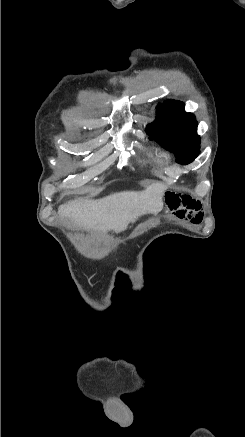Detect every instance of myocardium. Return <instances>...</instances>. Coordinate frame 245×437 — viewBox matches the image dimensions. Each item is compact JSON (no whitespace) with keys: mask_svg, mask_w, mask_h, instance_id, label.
I'll return each mask as SVG.
<instances>
[{"mask_svg":"<svg viewBox=\"0 0 245 437\" xmlns=\"http://www.w3.org/2000/svg\"><path fill=\"white\" fill-rule=\"evenodd\" d=\"M162 155L166 158H170V153L168 151H162Z\"/></svg>","mask_w":245,"mask_h":437,"instance_id":"1","label":"myocardium"}]
</instances>
